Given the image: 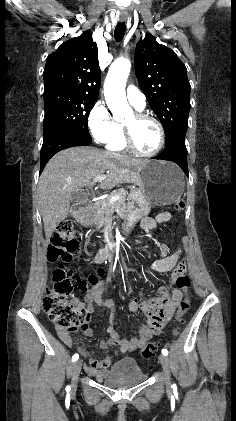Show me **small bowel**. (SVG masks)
<instances>
[{
    "instance_id": "1",
    "label": "small bowel",
    "mask_w": 236,
    "mask_h": 421,
    "mask_svg": "<svg viewBox=\"0 0 236 421\" xmlns=\"http://www.w3.org/2000/svg\"><path fill=\"white\" fill-rule=\"evenodd\" d=\"M170 218H171V214L167 213V212L160 214L156 218L146 217L141 221V227L145 230H153V229L157 228L159 223L164 222V221H168ZM177 258H178V255L171 256L169 258V261L175 262L177 260ZM102 292H103V287L101 285L96 286L87 293L84 302L76 300L75 303H77L79 305L86 306L88 311L92 310V307H93L94 303L102 304V305L108 307L109 309H111L112 311H114L113 302L108 301V300H103L102 299ZM130 305H131V308L133 310L137 309V303L135 301H132ZM143 307L145 308L146 306L143 305ZM112 321H113V315L111 317V322ZM85 333L88 336L92 334L91 330H87ZM58 334H59L60 338L66 344H69V345L72 344L73 338L69 333L58 330ZM149 337L150 336H147L146 338H149ZM110 363H111V357H106L104 360H102L100 362H98L96 360H92L91 363H90L91 364L90 371L95 370L96 368H100L101 370L96 371V372L98 373L97 377L102 378L104 376L105 372H106L107 367L110 365Z\"/></svg>"
}]
</instances>
